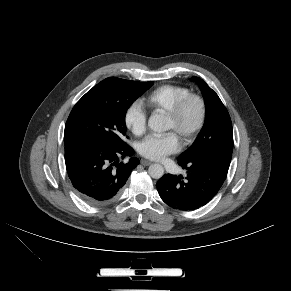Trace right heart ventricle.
<instances>
[{
    "label": "right heart ventricle",
    "mask_w": 291,
    "mask_h": 291,
    "mask_svg": "<svg viewBox=\"0 0 291 291\" xmlns=\"http://www.w3.org/2000/svg\"><path fill=\"white\" fill-rule=\"evenodd\" d=\"M190 94V89L180 85L166 84L148 93L142 104L152 112L167 113L179 100Z\"/></svg>",
    "instance_id": "right-heart-ventricle-1"
}]
</instances>
